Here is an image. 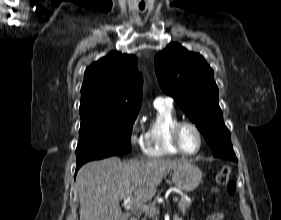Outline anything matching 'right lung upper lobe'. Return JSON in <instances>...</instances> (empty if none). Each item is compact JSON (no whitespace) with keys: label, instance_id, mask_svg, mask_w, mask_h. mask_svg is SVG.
Segmentation results:
<instances>
[{"label":"right lung upper lobe","instance_id":"cb5924a9","mask_svg":"<svg viewBox=\"0 0 281 220\" xmlns=\"http://www.w3.org/2000/svg\"><path fill=\"white\" fill-rule=\"evenodd\" d=\"M142 74L134 55L111 52L88 67L81 88V119L138 114Z\"/></svg>","mask_w":281,"mask_h":220}]
</instances>
